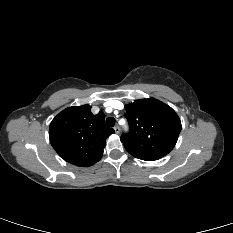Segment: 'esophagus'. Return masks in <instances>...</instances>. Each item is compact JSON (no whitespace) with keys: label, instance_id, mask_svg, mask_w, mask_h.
I'll return each instance as SVG.
<instances>
[{"label":"esophagus","instance_id":"esophagus-1","mask_svg":"<svg viewBox=\"0 0 233 233\" xmlns=\"http://www.w3.org/2000/svg\"><path fill=\"white\" fill-rule=\"evenodd\" d=\"M114 130H115V132H116L117 134L120 133V127H119L118 125H116V126L114 127Z\"/></svg>","mask_w":233,"mask_h":233}]
</instances>
